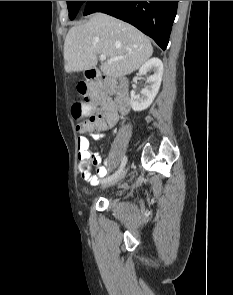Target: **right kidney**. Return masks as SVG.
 I'll use <instances>...</instances> for the list:
<instances>
[{
  "label": "right kidney",
  "mask_w": 233,
  "mask_h": 295,
  "mask_svg": "<svg viewBox=\"0 0 233 295\" xmlns=\"http://www.w3.org/2000/svg\"><path fill=\"white\" fill-rule=\"evenodd\" d=\"M153 74L147 77L148 84L142 89L141 94L136 95L135 91H131V107L134 111H142L147 109L155 99L162 81L163 63L159 58H151L146 61L139 69V76H144L149 71Z\"/></svg>",
  "instance_id": "ca27d5eb"
}]
</instances>
